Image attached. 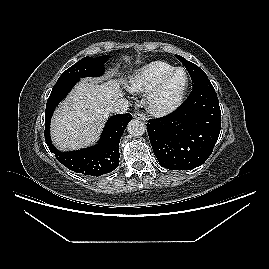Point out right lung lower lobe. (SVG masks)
<instances>
[{
  "mask_svg": "<svg viewBox=\"0 0 269 269\" xmlns=\"http://www.w3.org/2000/svg\"><path fill=\"white\" fill-rule=\"evenodd\" d=\"M79 80L78 78H66L57 81L54 85L46 104L45 141L50 151L65 167L74 172L98 177L110 173L118 167L120 138L127 124L132 120V115L126 113L110 117L97 145L78 151L60 152L51 142V117L58 103L66 97Z\"/></svg>",
  "mask_w": 269,
  "mask_h": 269,
  "instance_id": "obj_1",
  "label": "right lung lower lobe"
}]
</instances>
